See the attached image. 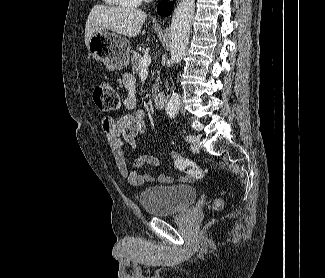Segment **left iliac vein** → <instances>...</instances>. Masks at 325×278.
Here are the masks:
<instances>
[{"label":"left iliac vein","instance_id":"4c4485c4","mask_svg":"<svg viewBox=\"0 0 325 278\" xmlns=\"http://www.w3.org/2000/svg\"><path fill=\"white\" fill-rule=\"evenodd\" d=\"M199 142H200V139L199 138H195V141L191 144V150L194 153H198L199 152Z\"/></svg>","mask_w":325,"mask_h":278}]
</instances>
